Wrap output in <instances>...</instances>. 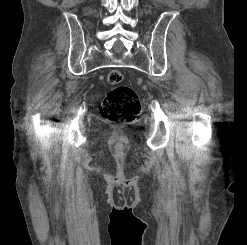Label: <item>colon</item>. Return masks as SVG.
I'll return each mask as SVG.
<instances>
[{"label":"colon","mask_w":247,"mask_h":245,"mask_svg":"<svg viewBox=\"0 0 247 245\" xmlns=\"http://www.w3.org/2000/svg\"><path fill=\"white\" fill-rule=\"evenodd\" d=\"M122 79L119 70L112 69L107 74V81L113 87L103 100L101 115L110 122H131L141 109L136 92L129 86L121 85Z\"/></svg>","instance_id":"obj_1"}]
</instances>
